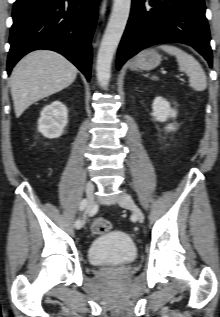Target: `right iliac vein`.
I'll return each instance as SVG.
<instances>
[{
  "label": "right iliac vein",
  "instance_id": "1",
  "mask_svg": "<svg viewBox=\"0 0 220 317\" xmlns=\"http://www.w3.org/2000/svg\"><path fill=\"white\" fill-rule=\"evenodd\" d=\"M93 193H94V184L92 181H88L87 184H86V198H87V205H86V209L87 211H89L92 207V203H93ZM85 219L84 218L81 223H82V226L84 225L85 223Z\"/></svg>",
  "mask_w": 220,
  "mask_h": 317
}]
</instances>
